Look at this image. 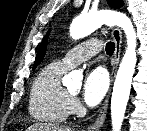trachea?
<instances>
[{"label":"trachea","instance_id":"3493384b","mask_svg":"<svg viewBox=\"0 0 147 131\" xmlns=\"http://www.w3.org/2000/svg\"><path fill=\"white\" fill-rule=\"evenodd\" d=\"M114 50L115 44L113 42H108L106 44V53L111 56L114 53Z\"/></svg>","mask_w":147,"mask_h":131}]
</instances>
